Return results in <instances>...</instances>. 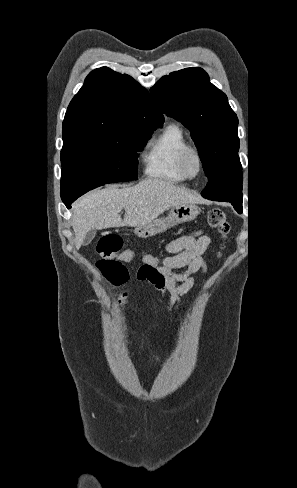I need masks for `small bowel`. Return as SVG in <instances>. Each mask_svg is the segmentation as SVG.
Returning <instances> with one entry per match:
<instances>
[{"mask_svg":"<svg viewBox=\"0 0 297 488\" xmlns=\"http://www.w3.org/2000/svg\"><path fill=\"white\" fill-rule=\"evenodd\" d=\"M211 243L208 234L197 230L174 239L165 246L168 255L161 258V265L145 281L150 283L162 297L169 293L166 311H173L175 314L179 312L178 317L184 314L185 311H179L180 298L198 284L194 277L196 273L207 272L204 255L208 252ZM121 259L130 263L135 259V254L133 258L121 257ZM127 353L133 359L142 360L141 356L132 351ZM146 360L155 361L153 357H148Z\"/></svg>","mask_w":297,"mask_h":488,"instance_id":"1","label":"small bowel"}]
</instances>
